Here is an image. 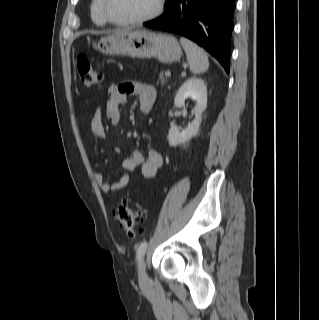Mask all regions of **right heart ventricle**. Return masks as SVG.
Returning <instances> with one entry per match:
<instances>
[{
    "label": "right heart ventricle",
    "instance_id": "1",
    "mask_svg": "<svg viewBox=\"0 0 319 320\" xmlns=\"http://www.w3.org/2000/svg\"><path fill=\"white\" fill-rule=\"evenodd\" d=\"M90 10L92 19L95 24L102 26L108 23L102 14L101 0H92Z\"/></svg>",
    "mask_w": 319,
    "mask_h": 320
}]
</instances>
